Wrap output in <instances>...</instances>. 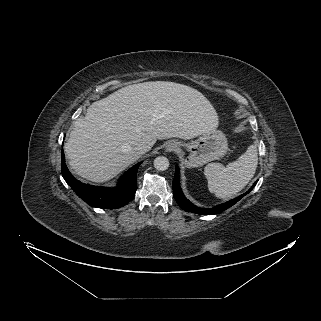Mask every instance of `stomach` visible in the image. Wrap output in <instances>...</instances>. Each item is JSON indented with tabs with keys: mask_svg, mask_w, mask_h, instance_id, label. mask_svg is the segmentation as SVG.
Returning a JSON list of instances; mask_svg holds the SVG:
<instances>
[{
	"mask_svg": "<svg viewBox=\"0 0 321 321\" xmlns=\"http://www.w3.org/2000/svg\"><path fill=\"white\" fill-rule=\"evenodd\" d=\"M190 152L186 164L188 167H199L207 162L224 156L228 150L227 138L216 129L202 134L197 140L183 143Z\"/></svg>",
	"mask_w": 321,
	"mask_h": 321,
	"instance_id": "stomach-1",
	"label": "stomach"
}]
</instances>
